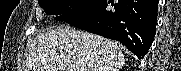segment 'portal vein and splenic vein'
Segmentation results:
<instances>
[{
	"label": "portal vein and splenic vein",
	"instance_id": "1",
	"mask_svg": "<svg viewBox=\"0 0 181 71\" xmlns=\"http://www.w3.org/2000/svg\"><path fill=\"white\" fill-rule=\"evenodd\" d=\"M68 71H72V69H68Z\"/></svg>",
	"mask_w": 181,
	"mask_h": 71
}]
</instances>
